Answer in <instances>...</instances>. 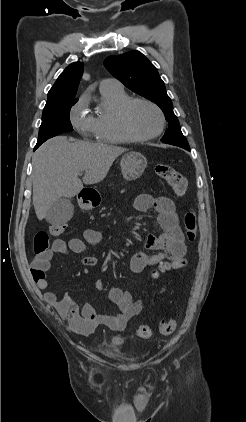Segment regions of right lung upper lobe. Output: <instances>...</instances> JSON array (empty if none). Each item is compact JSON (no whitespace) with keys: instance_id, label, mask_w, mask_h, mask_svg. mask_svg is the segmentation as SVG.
Listing matches in <instances>:
<instances>
[{"instance_id":"1","label":"right lung upper lobe","mask_w":246,"mask_h":422,"mask_svg":"<svg viewBox=\"0 0 246 422\" xmlns=\"http://www.w3.org/2000/svg\"><path fill=\"white\" fill-rule=\"evenodd\" d=\"M82 74V62H74L67 66L48 92L45 106H52L66 101H77L78 99L75 98V95Z\"/></svg>"}]
</instances>
